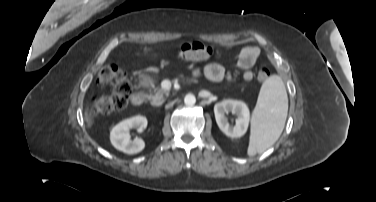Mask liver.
<instances>
[{
	"instance_id": "6515ba94",
	"label": "liver",
	"mask_w": 376,
	"mask_h": 202,
	"mask_svg": "<svg viewBox=\"0 0 376 202\" xmlns=\"http://www.w3.org/2000/svg\"><path fill=\"white\" fill-rule=\"evenodd\" d=\"M85 121L87 123V125L90 127L92 124H93V121L92 119L90 118V116L88 115V112H85Z\"/></svg>"
}]
</instances>
